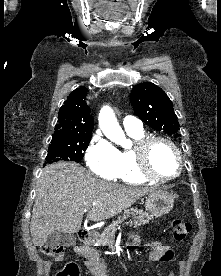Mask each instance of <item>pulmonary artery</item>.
Returning <instances> with one entry per match:
<instances>
[{
	"label": "pulmonary artery",
	"instance_id": "pulmonary-artery-1",
	"mask_svg": "<svg viewBox=\"0 0 221 276\" xmlns=\"http://www.w3.org/2000/svg\"><path fill=\"white\" fill-rule=\"evenodd\" d=\"M123 126L126 131H141L143 130L142 122L133 116H126L123 120Z\"/></svg>",
	"mask_w": 221,
	"mask_h": 276
}]
</instances>
